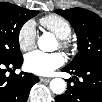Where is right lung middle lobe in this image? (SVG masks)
Returning a JSON list of instances; mask_svg holds the SVG:
<instances>
[{"label":"right lung middle lobe","instance_id":"dd1d6c3e","mask_svg":"<svg viewBox=\"0 0 102 102\" xmlns=\"http://www.w3.org/2000/svg\"><path fill=\"white\" fill-rule=\"evenodd\" d=\"M38 11L21 8L11 3H0V61H11L22 56L19 32L23 24Z\"/></svg>","mask_w":102,"mask_h":102}]
</instances>
